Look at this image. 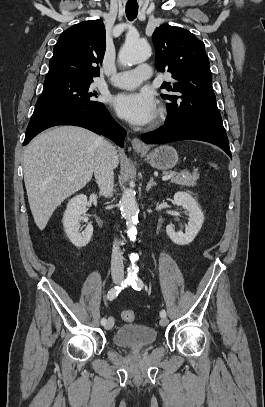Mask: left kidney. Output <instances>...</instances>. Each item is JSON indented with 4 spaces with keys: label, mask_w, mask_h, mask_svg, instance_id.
<instances>
[{
    "label": "left kidney",
    "mask_w": 265,
    "mask_h": 407,
    "mask_svg": "<svg viewBox=\"0 0 265 407\" xmlns=\"http://www.w3.org/2000/svg\"><path fill=\"white\" fill-rule=\"evenodd\" d=\"M174 203L182 206L188 212V226L185 233L176 232L172 225L166 227L169 238L177 245H187L191 243L200 231L204 215L196 200L186 192H176L174 194Z\"/></svg>",
    "instance_id": "obj_1"
}]
</instances>
